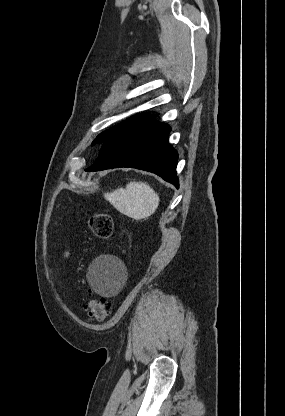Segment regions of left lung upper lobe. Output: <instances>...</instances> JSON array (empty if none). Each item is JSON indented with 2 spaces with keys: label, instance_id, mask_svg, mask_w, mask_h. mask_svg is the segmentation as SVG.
Instances as JSON below:
<instances>
[{
  "label": "left lung upper lobe",
  "instance_id": "obj_1",
  "mask_svg": "<svg viewBox=\"0 0 285 416\" xmlns=\"http://www.w3.org/2000/svg\"><path fill=\"white\" fill-rule=\"evenodd\" d=\"M142 115H140V114H138V115H136V116H134V117H132V118H130V119H128V120H126V121H124V122H122V123H120L119 125H117V126H115V127H113V128H111V129H109V130H106V131H104V132H102L101 134H99L95 139H94V141L92 142V146L93 145H95V144H102V143H104L111 135H113L117 130H119L120 128H122L123 126H125L126 124H128V123H130V122H132V121H134V120H136V119H138V118H140Z\"/></svg>",
  "mask_w": 285,
  "mask_h": 416
}]
</instances>
